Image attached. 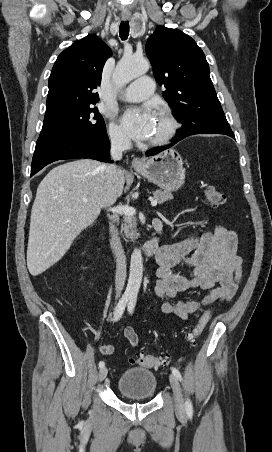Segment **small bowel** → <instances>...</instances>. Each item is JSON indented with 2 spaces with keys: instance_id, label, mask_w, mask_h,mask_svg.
Returning <instances> with one entry per match:
<instances>
[{
  "instance_id": "small-bowel-1",
  "label": "small bowel",
  "mask_w": 272,
  "mask_h": 452,
  "mask_svg": "<svg viewBox=\"0 0 272 452\" xmlns=\"http://www.w3.org/2000/svg\"><path fill=\"white\" fill-rule=\"evenodd\" d=\"M237 249V234L222 226L162 246L157 256L160 266L153 288V294L163 301L161 312L185 320L203 306L230 301L242 278L243 259ZM190 289L208 290V294L201 301L179 297ZM124 336L133 347L138 345V335L132 327L124 329ZM101 352L112 355L114 348L104 344Z\"/></svg>"
}]
</instances>
